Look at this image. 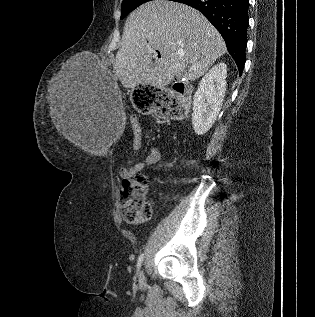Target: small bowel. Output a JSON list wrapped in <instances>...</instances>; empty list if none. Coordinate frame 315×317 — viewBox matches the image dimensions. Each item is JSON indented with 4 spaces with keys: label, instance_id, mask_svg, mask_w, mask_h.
Segmentation results:
<instances>
[{
    "label": "small bowel",
    "instance_id": "small-bowel-1",
    "mask_svg": "<svg viewBox=\"0 0 315 317\" xmlns=\"http://www.w3.org/2000/svg\"><path fill=\"white\" fill-rule=\"evenodd\" d=\"M162 159V152L157 147H152L146 158L141 162H136L134 157L129 158L126 163L120 168L119 175L123 180L129 179L133 175L139 173L142 169L157 164Z\"/></svg>",
    "mask_w": 315,
    "mask_h": 317
}]
</instances>
